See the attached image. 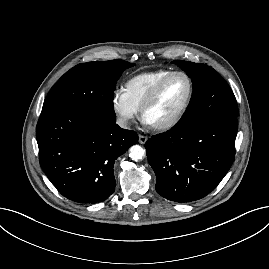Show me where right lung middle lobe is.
<instances>
[{
    "mask_svg": "<svg viewBox=\"0 0 269 269\" xmlns=\"http://www.w3.org/2000/svg\"><path fill=\"white\" fill-rule=\"evenodd\" d=\"M135 64L124 60L79 64L66 72L51 88L41 114L69 110L115 122L113 95L122 72Z\"/></svg>",
    "mask_w": 269,
    "mask_h": 269,
    "instance_id": "right-lung-middle-lobe-1",
    "label": "right lung middle lobe"
}]
</instances>
